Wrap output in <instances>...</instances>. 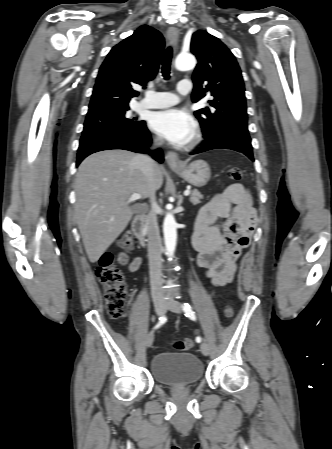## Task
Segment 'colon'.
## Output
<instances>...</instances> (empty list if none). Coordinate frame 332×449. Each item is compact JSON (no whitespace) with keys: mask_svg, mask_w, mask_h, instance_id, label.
Masks as SVG:
<instances>
[{"mask_svg":"<svg viewBox=\"0 0 332 449\" xmlns=\"http://www.w3.org/2000/svg\"><path fill=\"white\" fill-rule=\"evenodd\" d=\"M226 176L230 180L239 181L242 178L240 168H230ZM133 246V237L130 233L124 234L119 240V247L122 250H130ZM97 277L104 288V298L109 316L113 319H121L124 316L126 302V286L122 272L114 265V256L111 253L104 254L100 259L97 268ZM234 308L227 305L224 309V317L232 318ZM193 346L190 338L180 339L174 342L173 347L178 351H185Z\"/></svg>","mask_w":332,"mask_h":449,"instance_id":"1","label":"colon"}]
</instances>
